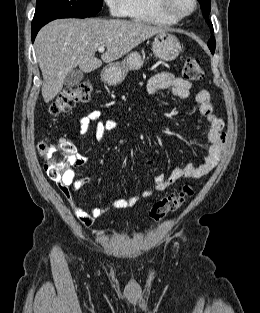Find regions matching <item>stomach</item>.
I'll return each instance as SVG.
<instances>
[{"mask_svg":"<svg viewBox=\"0 0 260 313\" xmlns=\"http://www.w3.org/2000/svg\"><path fill=\"white\" fill-rule=\"evenodd\" d=\"M152 51L159 59L172 61L181 53V45L175 35L168 32L158 33L154 38ZM143 63L141 55L132 52L122 62L107 65L101 74V78L109 85H117L125 79L128 71L140 69Z\"/></svg>","mask_w":260,"mask_h":313,"instance_id":"0dacf381","label":"stomach"}]
</instances>
